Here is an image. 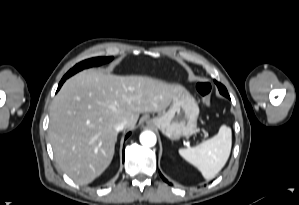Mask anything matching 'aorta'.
<instances>
[{
	"label": "aorta",
	"instance_id": "aorta-1",
	"mask_svg": "<svg viewBox=\"0 0 299 205\" xmlns=\"http://www.w3.org/2000/svg\"><path fill=\"white\" fill-rule=\"evenodd\" d=\"M156 141V135L151 131H144L140 135V143L145 147H153Z\"/></svg>",
	"mask_w": 299,
	"mask_h": 205
}]
</instances>
